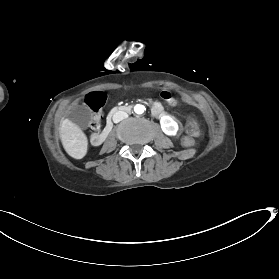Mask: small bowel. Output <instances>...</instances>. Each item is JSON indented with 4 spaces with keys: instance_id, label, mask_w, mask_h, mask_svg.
Masks as SVG:
<instances>
[{
    "instance_id": "small-bowel-1",
    "label": "small bowel",
    "mask_w": 279,
    "mask_h": 279,
    "mask_svg": "<svg viewBox=\"0 0 279 279\" xmlns=\"http://www.w3.org/2000/svg\"><path fill=\"white\" fill-rule=\"evenodd\" d=\"M161 97L163 100H165L168 104L170 105H176L177 100L176 98L170 93L169 90L167 89H163L161 91ZM163 107L159 102H155V110L154 113L155 115H160L162 113Z\"/></svg>"
}]
</instances>
